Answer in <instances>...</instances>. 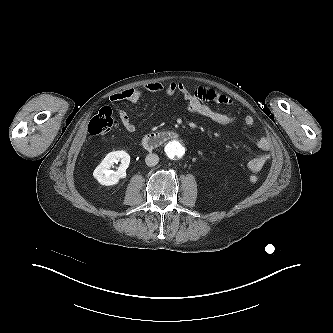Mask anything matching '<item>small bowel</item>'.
<instances>
[{
	"label": "small bowel",
	"mask_w": 333,
	"mask_h": 333,
	"mask_svg": "<svg viewBox=\"0 0 333 333\" xmlns=\"http://www.w3.org/2000/svg\"><path fill=\"white\" fill-rule=\"evenodd\" d=\"M147 93L180 95L186 109L195 114L210 119L219 125L233 124L238 120L237 114H226L214 110L210 104L231 105L232 102L226 96L219 94L213 89L204 87L188 88L181 82L161 83L154 82L137 87L121 90L110 96V101L117 105L120 101L137 102ZM118 115L123 127L128 132H135L136 125L131 121L129 115L117 106ZM244 122L248 127H254L255 119L251 115L244 118ZM256 146L261 150V154L252 158L247 166L251 172L257 173L261 171L270 161L271 143L265 136H256Z\"/></svg>",
	"instance_id": "obj_1"
}]
</instances>
